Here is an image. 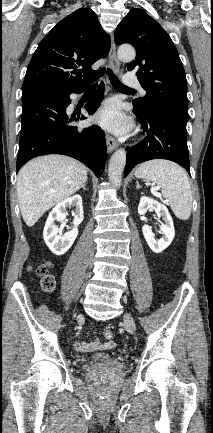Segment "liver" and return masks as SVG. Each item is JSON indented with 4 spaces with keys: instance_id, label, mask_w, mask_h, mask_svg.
<instances>
[{
    "instance_id": "1",
    "label": "liver",
    "mask_w": 213,
    "mask_h": 433,
    "mask_svg": "<svg viewBox=\"0 0 213 433\" xmlns=\"http://www.w3.org/2000/svg\"><path fill=\"white\" fill-rule=\"evenodd\" d=\"M87 181V167L64 155H45L18 173L17 197L27 226L32 227L54 205L76 193Z\"/></svg>"
}]
</instances>
